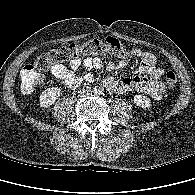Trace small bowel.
Segmentation results:
<instances>
[{"mask_svg": "<svg viewBox=\"0 0 195 195\" xmlns=\"http://www.w3.org/2000/svg\"><path fill=\"white\" fill-rule=\"evenodd\" d=\"M133 57L140 59V66L137 74L134 76L115 79L108 76L104 79V86L109 92L128 93L132 91L145 93L154 99H161L164 92V85L159 82L160 77L164 74V70L157 68V58L154 54L141 49H131ZM84 67L86 73L78 75V70ZM103 63L98 57H86L84 59L75 57L71 59L68 65L56 64L51 67V73L55 78L62 81L67 87L75 89L82 82H93V72L101 69ZM127 66L126 61L118 59L110 60L106 64L109 72H115Z\"/></svg>", "mask_w": 195, "mask_h": 195, "instance_id": "1", "label": "small bowel"}]
</instances>
